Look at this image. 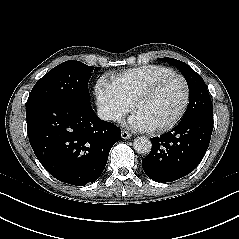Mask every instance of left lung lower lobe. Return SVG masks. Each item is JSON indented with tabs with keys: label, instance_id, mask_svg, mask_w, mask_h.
<instances>
[{
	"label": "left lung lower lobe",
	"instance_id": "left-lung-lower-lobe-1",
	"mask_svg": "<svg viewBox=\"0 0 239 239\" xmlns=\"http://www.w3.org/2000/svg\"><path fill=\"white\" fill-rule=\"evenodd\" d=\"M213 130V114L180 121L168 133L152 138L142 168L156 182H171L192 172L204 157Z\"/></svg>",
	"mask_w": 239,
	"mask_h": 239
}]
</instances>
